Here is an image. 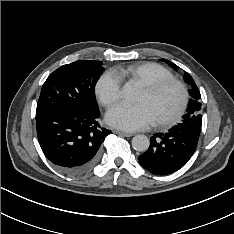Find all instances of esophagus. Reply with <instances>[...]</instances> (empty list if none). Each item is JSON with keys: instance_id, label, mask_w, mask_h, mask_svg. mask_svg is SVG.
<instances>
[{"instance_id": "esophagus-1", "label": "esophagus", "mask_w": 234, "mask_h": 234, "mask_svg": "<svg viewBox=\"0 0 234 234\" xmlns=\"http://www.w3.org/2000/svg\"><path fill=\"white\" fill-rule=\"evenodd\" d=\"M114 133H115V134L122 135V136H125V137H131V136H133L132 133L123 132V131H119V130H114Z\"/></svg>"}]
</instances>
